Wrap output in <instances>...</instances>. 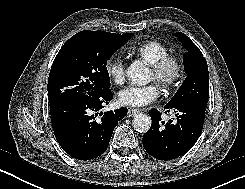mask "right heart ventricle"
I'll list each match as a JSON object with an SVG mask.
<instances>
[{
    "label": "right heart ventricle",
    "instance_id": "obj_1",
    "mask_svg": "<svg viewBox=\"0 0 245 189\" xmlns=\"http://www.w3.org/2000/svg\"><path fill=\"white\" fill-rule=\"evenodd\" d=\"M130 54L144 59L150 66L169 55L168 48L158 41H146L134 46Z\"/></svg>",
    "mask_w": 245,
    "mask_h": 189
}]
</instances>
